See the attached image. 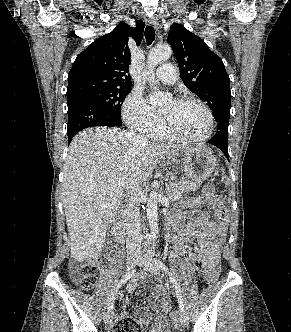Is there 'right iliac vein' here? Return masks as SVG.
<instances>
[{"label": "right iliac vein", "instance_id": "1", "mask_svg": "<svg viewBox=\"0 0 291 332\" xmlns=\"http://www.w3.org/2000/svg\"><path fill=\"white\" fill-rule=\"evenodd\" d=\"M138 262V258L134 257V256H131V257H128L127 258V262H126V265H127V270L130 271L131 269L134 268V266L137 264ZM112 318H113V312L112 311H108L104 314V322L105 323H110L112 321Z\"/></svg>", "mask_w": 291, "mask_h": 332}]
</instances>
